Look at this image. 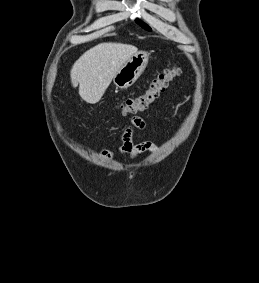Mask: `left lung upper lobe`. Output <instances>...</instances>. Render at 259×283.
I'll return each mask as SVG.
<instances>
[{
  "label": "left lung upper lobe",
  "mask_w": 259,
  "mask_h": 283,
  "mask_svg": "<svg viewBox=\"0 0 259 283\" xmlns=\"http://www.w3.org/2000/svg\"><path fill=\"white\" fill-rule=\"evenodd\" d=\"M138 24H140L141 26H143L145 29L147 30H151L145 23L141 22L140 20H136Z\"/></svg>",
  "instance_id": "obj_1"
}]
</instances>
